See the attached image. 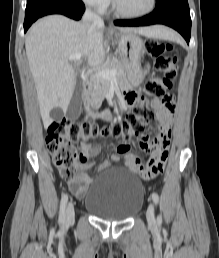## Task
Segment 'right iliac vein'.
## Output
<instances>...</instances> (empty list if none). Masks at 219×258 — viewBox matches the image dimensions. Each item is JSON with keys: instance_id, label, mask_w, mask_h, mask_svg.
I'll list each match as a JSON object with an SVG mask.
<instances>
[{"instance_id": "1", "label": "right iliac vein", "mask_w": 219, "mask_h": 258, "mask_svg": "<svg viewBox=\"0 0 219 258\" xmlns=\"http://www.w3.org/2000/svg\"><path fill=\"white\" fill-rule=\"evenodd\" d=\"M74 216V204L73 202H69L66 208V223H72L74 220Z\"/></svg>"}]
</instances>
